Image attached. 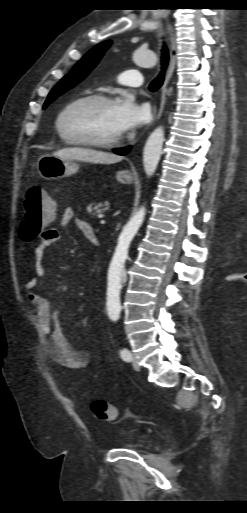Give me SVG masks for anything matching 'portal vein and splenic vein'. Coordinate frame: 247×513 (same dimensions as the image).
<instances>
[{
	"mask_svg": "<svg viewBox=\"0 0 247 513\" xmlns=\"http://www.w3.org/2000/svg\"><path fill=\"white\" fill-rule=\"evenodd\" d=\"M99 218H101V216H100ZM100 223H101V224H105V220L101 219V220H100Z\"/></svg>",
	"mask_w": 247,
	"mask_h": 513,
	"instance_id": "portal-vein-and-splenic-vein-1",
	"label": "portal vein and splenic vein"
}]
</instances>
